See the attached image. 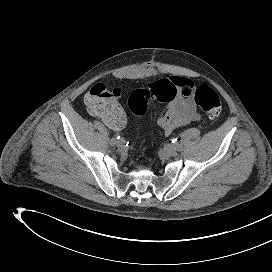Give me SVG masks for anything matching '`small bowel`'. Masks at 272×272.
I'll return each instance as SVG.
<instances>
[{
	"label": "small bowel",
	"instance_id": "obj_1",
	"mask_svg": "<svg viewBox=\"0 0 272 272\" xmlns=\"http://www.w3.org/2000/svg\"><path fill=\"white\" fill-rule=\"evenodd\" d=\"M177 87L178 93L176 97L167 106L165 111L158 118V124L165 134L172 133L175 129L199 121L200 114L197 111L193 98L182 93L184 88H192L193 82L185 77H171ZM114 108L106 116H101L103 121L113 130H122L126 125V116L120 105L115 100Z\"/></svg>",
	"mask_w": 272,
	"mask_h": 272
}]
</instances>
